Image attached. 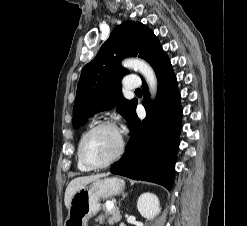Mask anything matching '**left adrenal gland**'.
I'll list each match as a JSON object with an SVG mask.
<instances>
[{"label":"left adrenal gland","instance_id":"obj_1","mask_svg":"<svg viewBox=\"0 0 247 226\" xmlns=\"http://www.w3.org/2000/svg\"><path fill=\"white\" fill-rule=\"evenodd\" d=\"M126 196H127V193H124V194L122 195V199H125ZM119 206H120V203H119Z\"/></svg>","mask_w":247,"mask_h":226}]
</instances>
